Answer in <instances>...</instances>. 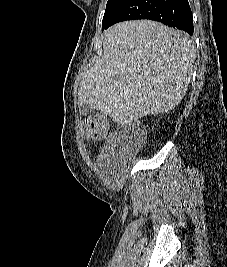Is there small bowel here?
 Listing matches in <instances>:
<instances>
[{
  "instance_id": "1",
  "label": "small bowel",
  "mask_w": 227,
  "mask_h": 267,
  "mask_svg": "<svg viewBox=\"0 0 227 267\" xmlns=\"http://www.w3.org/2000/svg\"><path fill=\"white\" fill-rule=\"evenodd\" d=\"M116 138L117 135L105 145L103 151L97 158L99 164L108 162L110 160V157L114 154Z\"/></svg>"
}]
</instances>
